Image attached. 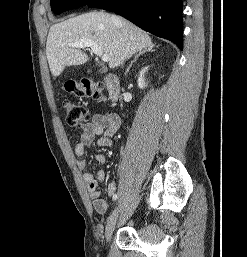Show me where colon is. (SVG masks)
<instances>
[{
    "label": "colon",
    "mask_w": 247,
    "mask_h": 257,
    "mask_svg": "<svg viewBox=\"0 0 247 257\" xmlns=\"http://www.w3.org/2000/svg\"><path fill=\"white\" fill-rule=\"evenodd\" d=\"M65 89L79 99L93 98L103 100L102 85L86 78L79 82H67ZM63 108L66 121L71 127L82 128L90 119L88 110L75 102L64 101Z\"/></svg>",
    "instance_id": "1"
}]
</instances>
